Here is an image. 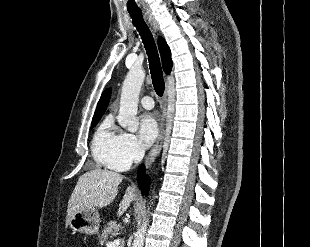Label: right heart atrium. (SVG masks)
I'll return each mask as SVG.
<instances>
[{
  "instance_id": "1",
  "label": "right heart atrium",
  "mask_w": 310,
  "mask_h": 247,
  "mask_svg": "<svg viewBox=\"0 0 310 247\" xmlns=\"http://www.w3.org/2000/svg\"><path fill=\"white\" fill-rule=\"evenodd\" d=\"M137 137L128 132L120 133L112 164L117 170H125L142 156Z\"/></svg>"
}]
</instances>
